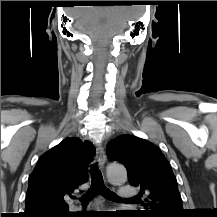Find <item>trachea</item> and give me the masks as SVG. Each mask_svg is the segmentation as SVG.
<instances>
[{
  "label": "trachea",
  "mask_w": 217,
  "mask_h": 217,
  "mask_svg": "<svg viewBox=\"0 0 217 217\" xmlns=\"http://www.w3.org/2000/svg\"><path fill=\"white\" fill-rule=\"evenodd\" d=\"M91 181L92 184L90 189L80 199L83 205H87L97 194H100L104 198L112 201L121 200L118 195L104 185L97 163L91 167Z\"/></svg>",
  "instance_id": "obj_1"
}]
</instances>
